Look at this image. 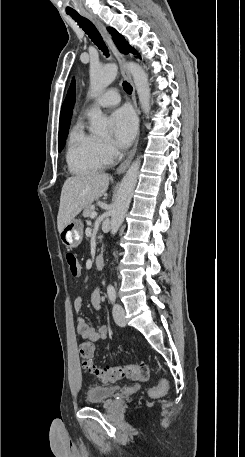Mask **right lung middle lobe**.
<instances>
[{"label": "right lung middle lobe", "instance_id": "right-lung-middle-lobe-1", "mask_svg": "<svg viewBox=\"0 0 245 457\" xmlns=\"http://www.w3.org/2000/svg\"><path fill=\"white\" fill-rule=\"evenodd\" d=\"M69 126L59 128V138H58V151L60 152L65 144V140L68 134Z\"/></svg>", "mask_w": 245, "mask_h": 457}]
</instances>
